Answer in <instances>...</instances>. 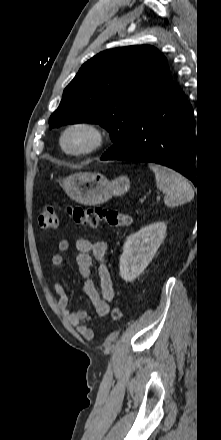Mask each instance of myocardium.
Segmentation results:
<instances>
[{
	"mask_svg": "<svg viewBox=\"0 0 221 440\" xmlns=\"http://www.w3.org/2000/svg\"><path fill=\"white\" fill-rule=\"evenodd\" d=\"M73 132H81L86 137V143L79 148H69L65 140ZM106 140L103 128L89 120H77L64 126L58 136V145L63 154L69 157L89 156L99 151Z\"/></svg>",
	"mask_w": 221,
	"mask_h": 440,
	"instance_id": "1",
	"label": "myocardium"
}]
</instances>
